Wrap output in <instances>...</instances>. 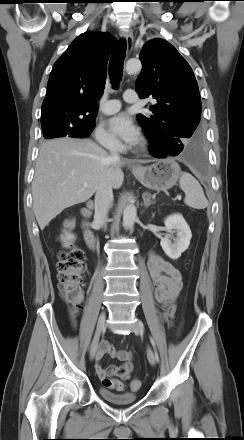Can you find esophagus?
Masks as SVG:
<instances>
[{
    "label": "esophagus",
    "mask_w": 244,
    "mask_h": 440,
    "mask_svg": "<svg viewBox=\"0 0 244 440\" xmlns=\"http://www.w3.org/2000/svg\"><path fill=\"white\" fill-rule=\"evenodd\" d=\"M120 35L122 38L125 39V41L127 43V52L130 53L132 51L133 45H134V38H133L132 31L130 29H121Z\"/></svg>",
    "instance_id": "1"
}]
</instances>
